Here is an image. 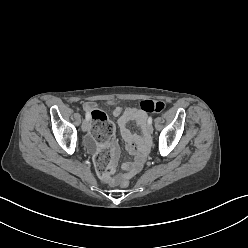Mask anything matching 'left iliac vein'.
I'll return each instance as SVG.
<instances>
[{"mask_svg":"<svg viewBox=\"0 0 248 248\" xmlns=\"http://www.w3.org/2000/svg\"><path fill=\"white\" fill-rule=\"evenodd\" d=\"M147 132H148L149 134H152V133H153V127H152L151 124H149V125L147 126Z\"/></svg>","mask_w":248,"mask_h":248,"instance_id":"1","label":"left iliac vein"}]
</instances>
